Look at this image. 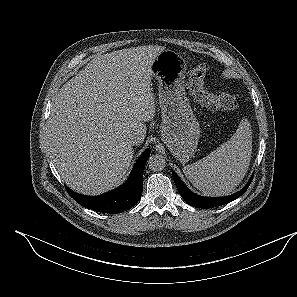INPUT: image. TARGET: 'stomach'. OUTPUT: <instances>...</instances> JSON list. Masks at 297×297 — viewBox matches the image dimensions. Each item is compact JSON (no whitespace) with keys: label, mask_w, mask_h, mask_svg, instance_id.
<instances>
[{"label":"stomach","mask_w":297,"mask_h":297,"mask_svg":"<svg viewBox=\"0 0 297 297\" xmlns=\"http://www.w3.org/2000/svg\"><path fill=\"white\" fill-rule=\"evenodd\" d=\"M186 70L183 57L169 49L161 51L151 65L152 78L158 82L161 138L183 164L194 156L200 137L199 122L185 93Z\"/></svg>","instance_id":"obj_1"}]
</instances>
